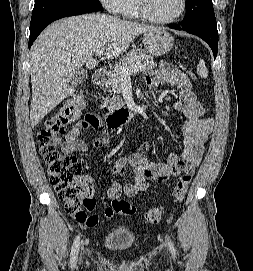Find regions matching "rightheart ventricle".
<instances>
[{
  "instance_id": "obj_1",
  "label": "right heart ventricle",
  "mask_w": 253,
  "mask_h": 271,
  "mask_svg": "<svg viewBox=\"0 0 253 271\" xmlns=\"http://www.w3.org/2000/svg\"><path fill=\"white\" fill-rule=\"evenodd\" d=\"M121 13L127 18H138L140 15L135 0H125Z\"/></svg>"
}]
</instances>
